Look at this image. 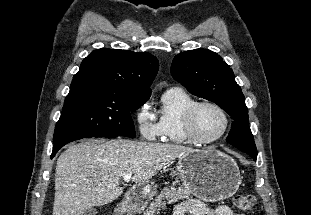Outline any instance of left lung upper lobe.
<instances>
[{"instance_id": "1", "label": "left lung upper lobe", "mask_w": 311, "mask_h": 215, "mask_svg": "<svg viewBox=\"0 0 311 215\" xmlns=\"http://www.w3.org/2000/svg\"><path fill=\"white\" fill-rule=\"evenodd\" d=\"M171 73L192 94L216 103L234 120L226 141L257 156L244 95L230 66L215 52L194 49L177 54Z\"/></svg>"}]
</instances>
